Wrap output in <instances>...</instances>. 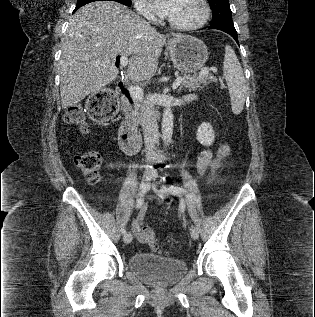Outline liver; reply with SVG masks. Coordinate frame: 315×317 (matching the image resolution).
<instances>
[{"label": "liver", "instance_id": "obj_1", "mask_svg": "<svg viewBox=\"0 0 315 317\" xmlns=\"http://www.w3.org/2000/svg\"><path fill=\"white\" fill-rule=\"evenodd\" d=\"M165 43L164 35L120 3L97 1L81 7L62 40V107L75 105L115 80L118 54L129 57L126 77L149 80L157 71Z\"/></svg>", "mask_w": 315, "mask_h": 317}]
</instances>
